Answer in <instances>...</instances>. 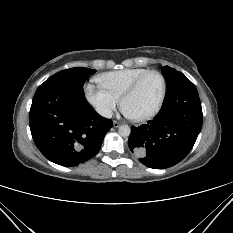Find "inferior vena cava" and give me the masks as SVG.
<instances>
[{"label":"inferior vena cava","mask_w":233,"mask_h":233,"mask_svg":"<svg viewBox=\"0 0 233 233\" xmlns=\"http://www.w3.org/2000/svg\"><path fill=\"white\" fill-rule=\"evenodd\" d=\"M99 114L103 117L111 118L113 113L110 109H101L99 110Z\"/></svg>","instance_id":"602c4592"}]
</instances>
